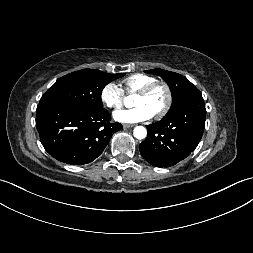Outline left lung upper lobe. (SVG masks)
I'll return each instance as SVG.
<instances>
[{
  "label": "left lung upper lobe",
  "instance_id": "left-lung-upper-lobe-1",
  "mask_svg": "<svg viewBox=\"0 0 253 253\" xmlns=\"http://www.w3.org/2000/svg\"><path fill=\"white\" fill-rule=\"evenodd\" d=\"M146 73L161 76L168 84L172 93V105L167 115L182 106L187 98L198 89L184 76L163 69L146 70Z\"/></svg>",
  "mask_w": 253,
  "mask_h": 253
}]
</instances>
